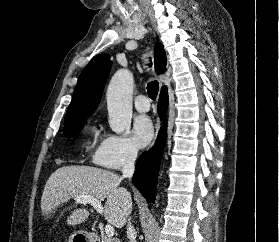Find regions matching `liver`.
Wrapping results in <instances>:
<instances>
[{
    "mask_svg": "<svg viewBox=\"0 0 279 242\" xmlns=\"http://www.w3.org/2000/svg\"><path fill=\"white\" fill-rule=\"evenodd\" d=\"M122 178L116 173L91 166H63L58 168L46 182L41 198L42 214L47 218L77 196H91L100 201L106 199L105 219L117 228H122L132 211L131 194L120 187ZM87 209H75L67 218L68 225L86 221Z\"/></svg>",
    "mask_w": 279,
    "mask_h": 242,
    "instance_id": "liver-1",
    "label": "liver"
}]
</instances>
